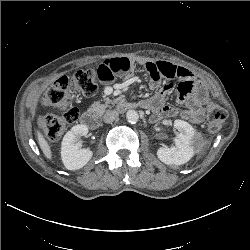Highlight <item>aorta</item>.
<instances>
[{
    "label": "aorta",
    "instance_id": "762f6f07",
    "mask_svg": "<svg viewBox=\"0 0 250 250\" xmlns=\"http://www.w3.org/2000/svg\"><path fill=\"white\" fill-rule=\"evenodd\" d=\"M126 119L131 124L137 123L139 120L138 112L135 110H128L126 113Z\"/></svg>",
    "mask_w": 250,
    "mask_h": 250
}]
</instances>
